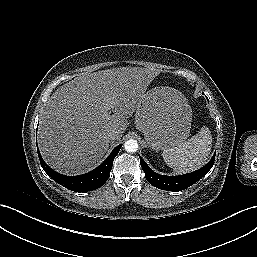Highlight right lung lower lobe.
Segmentation results:
<instances>
[{
	"label": "right lung lower lobe",
	"instance_id": "obj_1",
	"mask_svg": "<svg viewBox=\"0 0 257 257\" xmlns=\"http://www.w3.org/2000/svg\"><path fill=\"white\" fill-rule=\"evenodd\" d=\"M122 144L113 149L108 158L96 169L83 175L65 176L52 170L42 159L39 150L38 156L43 170L55 182L75 192H87L100 188L109 178L113 160L118 154Z\"/></svg>",
	"mask_w": 257,
	"mask_h": 257
}]
</instances>
